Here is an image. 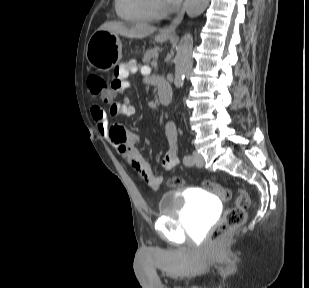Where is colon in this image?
Segmentation results:
<instances>
[{
  "instance_id": "1",
  "label": "colon",
  "mask_w": 309,
  "mask_h": 288,
  "mask_svg": "<svg viewBox=\"0 0 309 288\" xmlns=\"http://www.w3.org/2000/svg\"><path fill=\"white\" fill-rule=\"evenodd\" d=\"M87 86L94 96L105 102L110 101L115 94L120 92L119 84L114 82L110 84L96 74L89 75ZM167 184L173 188H180L183 186L184 181L179 176H173L168 179ZM204 187L223 201H229L233 197L235 198V204L225 210L222 218L217 222L211 232L212 241H218L245 222L250 197L244 189L233 190L213 182H205Z\"/></svg>"
}]
</instances>
